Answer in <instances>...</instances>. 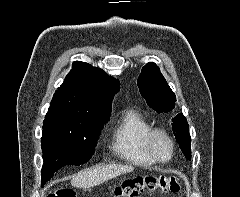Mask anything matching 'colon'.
Here are the masks:
<instances>
[{
	"label": "colon",
	"mask_w": 240,
	"mask_h": 197,
	"mask_svg": "<svg viewBox=\"0 0 240 197\" xmlns=\"http://www.w3.org/2000/svg\"><path fill=\"white\" fill-rule=\"evenodd\" d=\"M180 189L178 180L175 177L163 175L133 176L125 179L118 185L113 197H136L143 192L176 193ZM47 197H76L72 189H61Z\"/></svg>",
	"instance_id": "1"
}]
</instances>
